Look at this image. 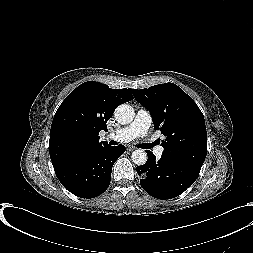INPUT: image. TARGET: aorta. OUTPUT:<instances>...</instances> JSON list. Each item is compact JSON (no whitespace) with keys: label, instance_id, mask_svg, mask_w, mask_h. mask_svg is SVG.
Wrapping results in <instances>:
<instances>
[{"label":"aorta","instance_id":"1","mask_svg":"<svg viewBox=\"0 0 253 253\" xmlns=\"http://www.w3.org/2000/svg\"><path fill=\"white\" fill-rule=\"evenodd\" d=\"M115 118L120 124H129L135 117V112L132 106L128 104H121L115 110ZM132 161L136 165H144L147 161V154L144 150L138 149L132 153Z\"/></svg>","mask_w":253,"mask_h":253}]
</instances>
